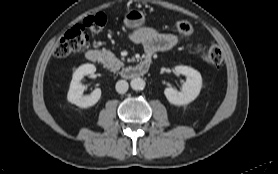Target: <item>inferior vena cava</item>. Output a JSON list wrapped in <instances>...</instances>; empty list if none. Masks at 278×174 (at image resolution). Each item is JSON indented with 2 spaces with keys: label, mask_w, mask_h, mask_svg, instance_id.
<instances>
[{
  "label": "inferior vena cava",
  "mask_w": 278,
  "mask_h": 174,
  "mask_svg": "<svg viewBox=\"0 0 278 174\" xmlns=\"http://www.w3.org/2000/svg\"><path fill=\"white\" fill-rule=\"evenodd\" d=\"M115 87L118 93L124 94L128 90V83L125 80H119Z\"/></svg>",
  "instance_id": "obj_1"
}]
</instances>
